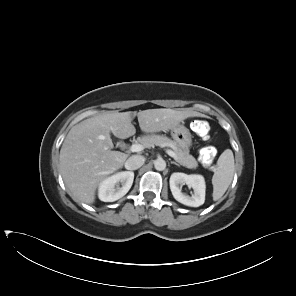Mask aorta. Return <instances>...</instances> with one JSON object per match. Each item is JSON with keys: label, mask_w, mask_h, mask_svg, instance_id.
<instances>
[{"label": "aorta", "mask_w": 296, "mask_h": 296, "mask_svg": "<svg viewBox=\"0 0 296 296\" xmlns=\"http://www.w3.org/2000/svg\"><path fill=\"white\" fill-rule=\"evenodd\" d=\"M154 167L157 171H163L166 168V162L162 158L155 160Z\"/></svg>", "instance_id": "762f6f07"}]
</instances>
